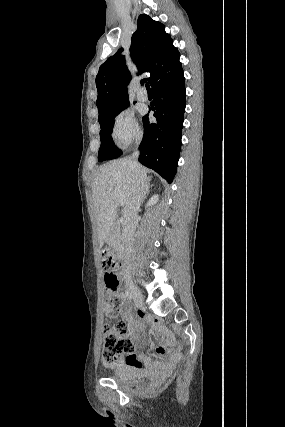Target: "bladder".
I'll list each match as a JSON object with an SVG mask.
<instances>
[{
	"mask_svg": "<svg viewBox=\"0 0 285 427\" xmlns=\"http://www.w3.org/2000/svg\"><path fill=\"white\" fill-rule=\"evenodd\" d=\"M150 373L135 365H121L107 378L120 382H141L150 378Z\"/></svg>",
	"mask_w": 285,
	"mask_h": 427,
	"instance_id": "1",
	"label": "bladder"
}]
</instances>
